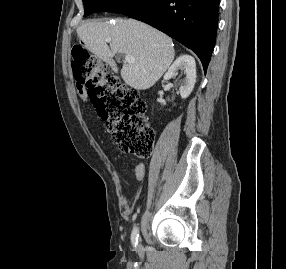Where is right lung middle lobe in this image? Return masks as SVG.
<instances>
[{
  "instance_id": "right-lung-middle-lobe-1",
  "label": "right lung middle lobe",
  "mask_w": 286,
  "mask_h": 269,
  "mask_svg": "<svg viewBox=\"0 0 286 269\" xmlns=\"http://www.w3.org/2000/svg\"><path fill=\"white\" fill-rule=\"evenodd\" d=\"M154 0H83L85 13L88 16L93 12H115L130 15L137 12Z\"/></svg>"
}]
</instances>
